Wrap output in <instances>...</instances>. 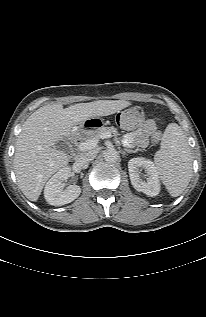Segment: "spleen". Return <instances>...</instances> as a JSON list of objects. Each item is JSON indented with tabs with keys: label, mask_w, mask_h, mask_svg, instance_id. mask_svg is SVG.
<instances>
[{
	"label": "spleen",
	"mask_w": 206,
	"mask_h": 317,
	"mask_svg": "<svg viewBox=\"0 0 206 317\" xmlns=\"http://www.w3.org/2000/svg\"><path fill=\"white\" fill-rule=\"evenodd\" d=\"M157 174L172 197L187 188L192 177V156L182 128L169 124L162 137L161 148L154 156Z\"/></svg>",
	"instance_id": "spleen-1"
}]
</instances>
